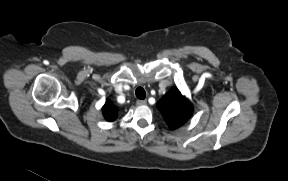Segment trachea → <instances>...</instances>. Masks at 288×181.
<instances>
[{
  "label": "trachea",
  "instance_id": "3493384b",
  "mask_svg": "<svg viewBox=\"0 0 288 181\" xmlns=\"http://www.w3.org/2000/svg\"><path fill=\"white\" fill-rule=\"evenodd\" d=\"M135 93H136V97L138 99H142L143 100L146 97V92H145V90L142 87H138L136 89Z\"/></svg>",
  "mask_w": 288,
  "mask_h": 181
}]
</instances>
